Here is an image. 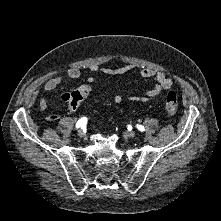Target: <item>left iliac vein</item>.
Wrapping results in <instances>:
<instances>
[{
    "mask_svg": "<svg viewBox=\"0 0 221 221\" xmlns=\"http://www.w3.org/2000/svg\"><path fill=\"white\" fill-rule=\"evenodd\" d=\"M126 135H127L128 137L134 138V137L136 136V133L133 132V131H126Z\"/></svg>",
    "mask_w": 221,
    "mask_h": 221,
    "instance_id": "1",
    "label": "left iliac vein"
}]
</instances>
